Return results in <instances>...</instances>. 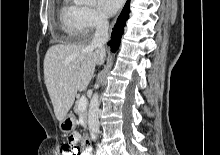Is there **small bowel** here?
Listing matches in <instances>:
<instances>
[{
    "label": "small bowel",
    "mask_w": 220,
    "mask_h": 155,
    "mask_svg": "<svg viewBox=\"0 0 220 155\" xmlns=\"http://www.w3.org/2000/svg\"><path fill=\"white\" fill-rule=\"evenodd\" d=\"M67 144H79V145H88V140H83L81 133H78L77 130H72L67 138ZM64 147V146H63ZM81 155H90L88 150H85Z\"/></svg>",
    "instance_id": "obj_1"
}]
</instances>
